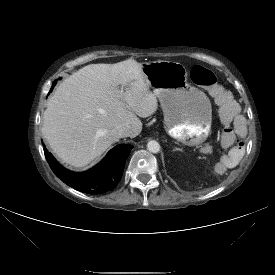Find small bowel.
Returning <instances> with one entry per match:
<instances>
[{"label":"small bowel","mask_w":275,"mask_h":275,"mask_svg":"<svg viewBox=\"0 0 275 275\" xmlns=\"http://www.w3.org/2000/svg\"><path fill=\"white\" fill-rule=\"evenodd\" d=\"M240 111V105L229 98L228 104L224 105L218 113L219 121L227 126L222 132L224 149L221 151L218 161L220 167L229 172L239 167L247 149L246 122Z\"/></svg>","instance_id":"c3829d8e"}]
</instances>
